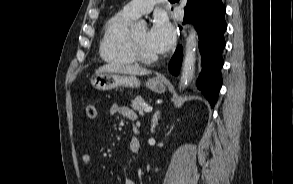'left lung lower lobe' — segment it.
Returning a JSON list of instances; mask_svg holds the SVG:
<instances>
[{
    "mask_svg": "<svg viewBox=\"0 0 293 184\" xmlns=\"http://www.w3.org/2000/svg\"><path fill=\"white\" fill-rule=\"evenodd\" d=\"M184 10V23H193L199 35L202 72L197 86L214 107L222 85V50L225 47L223 34L227 28L224 20L226 8L222 0H188ZM181 61L182 48L178 46L169 64L172 74L179 73Z\"/></svg>",
    "mask_w": 293,
    "mask_h": 184,
    "instance_id": "obj_1",
    "label": "left lung lower lobe"
}]
</instances>
